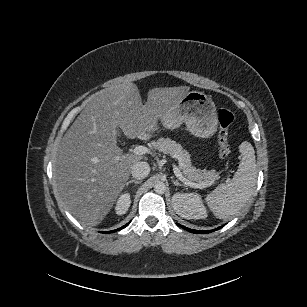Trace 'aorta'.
Wrapping results in <instances>:
<instances>
[{
  "mask_svg": "<svg viewBox=\"0 0 307 307\" xmlns=\"http://www.w3.org/2000/svg\"><path fill=\"white\" fill-rule=\"evenodd\" d=\"M154 191L158 194H163L165 193L166 191V185L164 182H157L155 185H154Z\"/></svg>",
  "mask_w": 307,
  "mask_h": 307,
  "instance_id": "obj_1",
  "label": "aorta"
}]
</instances>
